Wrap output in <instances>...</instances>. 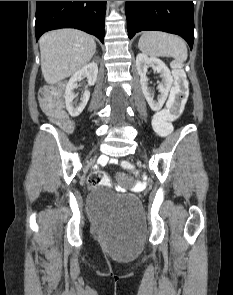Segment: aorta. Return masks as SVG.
<instances>
[{"label":"aorta","mask_w":233,"mask_h":295,"mask_svg":"<svg viewBox=\"0 0 233 295\" xmlns=\"http://www.w3.org/2000/svg\"><path fill=\"white\" fill-rule=\"evenodd\" d=\"M124 1H117L118 4H122Z\"/></svg>","instance_id":"762f6f07"}]
</instances>
